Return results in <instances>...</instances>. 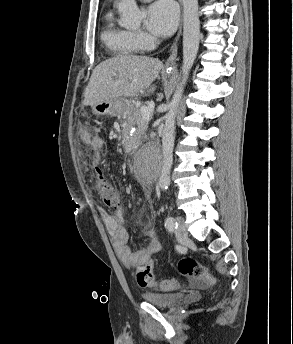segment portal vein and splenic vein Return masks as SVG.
I'll list each match as a JSON object with an SVG mask.
<instances>
[{
	"mask_svg": "<svg viewBox=\"0 0 293 344\" xmlns=\"http://www.w3.org/2000/svg\"><path fill=\"white\" fill-rule=\"evenodd\" d=\"M140 110H141L142 118H143L144 120H149L150 117H151V114H152V112H153V109L150 108V107H147V106H142V107L140 108Z\"/></svg>",
	"mask_w": 293,
	"mask_h": 344,
	"instance_id": "18ae733b",
	"label": "portal vein and splenic vein"
}]
</instances>
